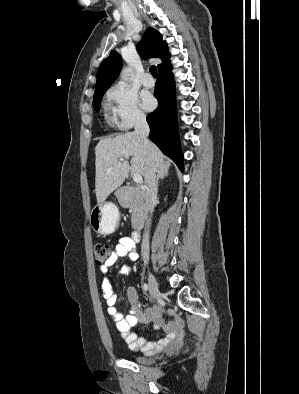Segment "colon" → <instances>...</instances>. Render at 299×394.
<instances>
[{"instance_id": "obj_1", "label": "colon", "mask_w": 299, "mask_h": 394, "mask_svg": "<svg viewBox=\"0 0 299 394\" xmlns=\"http://www.w3.org/2000/svg\"><path fill=\"white\" fill-rule=\"evenodd\" d=\"M93 250H94L95 260L98 264L106 263L112 255L110 245L104 242L95 243Z\"/></svg>"}]
</instances>
